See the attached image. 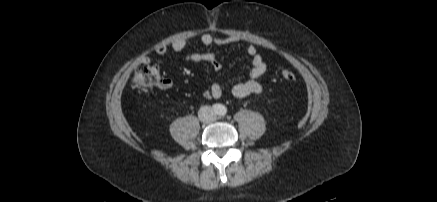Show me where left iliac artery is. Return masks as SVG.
Instances as JSON below:
<instances>
[{"label":"left iliac artery","instance_id":"44dca946","mask_svg":"<svg viewBox=\"0 0 437 202\" xmlns=\"http://www.w3.org/2000/svg\"><path fill=\"white\" fill-rule=\"evenodd\" d=\"M226 114V108L225 107H222L221 109H220V115H225Z\"/></svg>","mask_w":437,"mask_h":202}]
</instances>
